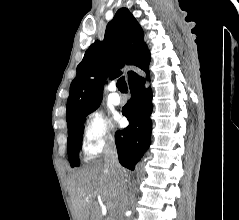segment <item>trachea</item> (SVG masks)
<instances>
[{
    "mask_svg": "<svg viewBox=\"0 0 239 220\" xmlns=\"http://www.w3.org/2000/svg\"><path fill=\"white\" fill-rule=\"evenodd\" d=\"M117 87L119 90H127V84H126V81H125V77L122 76L120 77L118 80H117Z\"/></svg>",
    "mask_w": 239,
    "mask_h": 220,
    "instance_id": "trachea-1",
    "label": "trachea"
}]
</instances>
